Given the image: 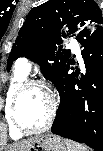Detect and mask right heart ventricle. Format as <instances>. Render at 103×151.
Listing matches in <instances>:
<instances>
[{"mask_svg": "<svg viewBox=\"0 0 103 151\" xmlns=\"http://www.w3.org/2000/svg\"><path fill=\"white\" fill-rule=\"evenodd\" d=\"M28 73L20 69L19 67L16 68V71L14 73L13 78L11 79L10 85L8 87V90L6 92V97H5V106H4V114H5V119L8 124V130H9V135L13 139H20L23 137V133L19 132L12 124L11 119H10V103L13 98V95L17 91V89L25 82L26 77Z\"/></svg>", "mask_w": 103, "mask_h": 151, "instance_id": "obj_1", "label": "right heart ventricle"}]
</instances>
